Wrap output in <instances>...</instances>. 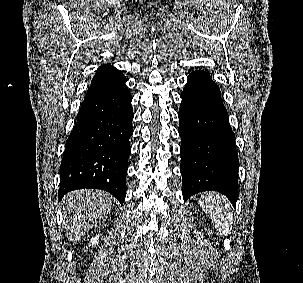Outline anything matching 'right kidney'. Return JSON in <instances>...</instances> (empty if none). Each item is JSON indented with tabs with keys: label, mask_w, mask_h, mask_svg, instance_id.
I'll return each mask as SVG.
<instances>
[{
	"label": "right kidney",
	"mask_w": 303,
	"mask_h": 283,
	"mask_svg": "<svg viewBox=\"0 0 303 283\" xmlns=\"http://www.w3.org/2000/svg\"><path fill=\"white\" fill-rule=\"evenodd\" d=\"M99 236H100V234H98V235H96L95 237H93V238L91 239L90 243H89V246H90V245L93 246V245L98 244Z\"/></svg>",
	"instance_id": "right-kidney-1"
}]
</instances>
